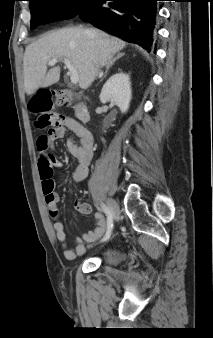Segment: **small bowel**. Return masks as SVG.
<instances>
[{"mask_svg": "<svg viewBox=\"0 0 213 338\" xmlns=\"http://www.w3.org/2000/svg\"><path fill=\"white\" fill-rule=\"evenodd\" d=\"M66 130L72 132L79 141L71 140L68 144L69 152L78 161L77 167L73 171V178L77 182H82L87 178L88 168L92 157L94 140L90 131L79 121L74 118L66 117L62 127L55 128L50 134L40 135L37 137L36 145L38 150V168L40 176L50 174L52 170L60 165L59 161L51 152L54 149V142L64 136ZM45 194V193H44ZM45 202L50 217L53 220V232L57 241L64 249V256L68 260H75L83 255L90 245L99 239L106 231L105 218L102 213H96L95 225L90 231L85 232L82 237L78 238L75 247L70 248L67 245V235L64 230V224L59 219V202L60 195L52 190L45 194ZM77 210L84 214L90 212V206L81 200L75 201Z\"/></svg>", "mask_w": 213, "mask_h": 338, "instance_id": "small-bowel-1", "label": "small bowel"}]
</instances>
